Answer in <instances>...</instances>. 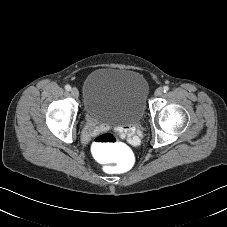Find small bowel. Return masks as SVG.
I'll return each mask as SVG.
<instances>
[{
    "label": "small bowel",
    "mask_w": 227,
    "mask_h": 227,
    "mask_svg": "<svg viewBox=\"0 0 227 227\" xmlns=\"http://www.w3.org/2000/svg\"><path fill=\"white\" fill-rule=\"evenodd\" d=\"M89 136H90V131H87V130H86V131L84 132L83 139H84L85 141H88ZM128 140H129L130 142H132V143H136L137 140H138V138H137L136 136H134L133 134H130V135L128 136Z\"/></svg>",
    "instance_id": "1"
}]
</instances>
